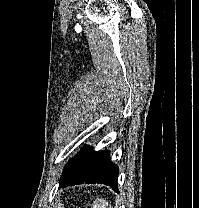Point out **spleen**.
Instances as JSON below:
<instances>
[{
  "label": "spleen",
  "instance_id": "1",
  "mask_svg": "<svg viewBox=\"0 0 199 208\" xmlns=\"http://www.w3.org/2000/svg\"><path fill=\"white\" fill-rule=\"evenodd\" d=\"M92 208H112V207L108 201L101 198L94 201Z\"/></svg>",
  "mask_w": 199,
  "mask_h": 208
}]
</instances>
